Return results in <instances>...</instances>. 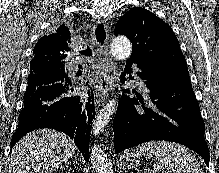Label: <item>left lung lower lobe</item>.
<instances>
[{"instance_id":"0a47b994","label":"left lung lower lobe","mask_w":219,"mask_h":173,"mask_svg":"<svg viewBox=\"0 0 219 173\" xmlns=\"http://www.w3.org/2000/svg\"><path fill=\"white\" fill-rule=\"evenodd\" d=\"M138 76L150 90V104H142L125 95L120 99L114 117L115 152L150 140L177 142L197 152L209 166V149L204 139L205 124L189 77L170 80L171 75L155 64L129 59L125 72L132 64ZM125 73H123L124 75ZM131 78V76L129 77ZM122 82L125 81L123 77ZM125 92L130 93L129 89Z\"/></svg>"}]
</instances>
